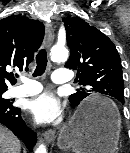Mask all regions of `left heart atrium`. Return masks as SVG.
I'll list each match as a JSON object with an SVG mask.
<instances>
[{
    "label": "left heart atrium",
    "instance_id": "1",
    "mask_svg": "<svg viewBox=\"0 0 130 153\" xmlns=\"http://www.w3.org/2000/svg\"><path fill=\"white\" fill-rule=\"evenodd\" d=\"M28 112L40 123H50L61 114V105L58 99L51 93L45 92L28 102Z\"/></svg>",
    "mask_w": 130,
    "mask_h": 153
}]
</instances>
